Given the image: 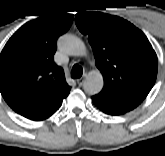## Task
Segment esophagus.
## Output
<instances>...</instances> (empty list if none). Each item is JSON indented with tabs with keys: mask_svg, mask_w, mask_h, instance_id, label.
Here are the masks:
<instances>
[{
	"mask_svg": "<svg viewBox=\"0 0 165 156\" xmlns=\"http://www.w3.org/2000/svg\"><path fill=\"white\" fill-rule=\"evenodd\" d=\"M83 83H84V79H83V78H80V79L77 80V84H78L79 86H82Z\"/></svg>",
	"mask_w": 165,
	"mask_h": 156,
	"instance_id": "obj_1",
	"label": "esophagus"
}]
</instances>
